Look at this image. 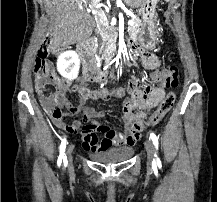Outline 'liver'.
Listing matches in <instances>:
<instances>
[{"mask_svg":"<svg viewBox=\"0 0 217 202\" xmlns=\"http://www.w3.org/2000/svg\"><path fill=\"white\" fill-rule=\"evenodd\" d=\"M48 14L54 20L51 42L55 46H71L92 36L95 22L87 8L92 0H44ZM130 8H140L144 0H124Z\"/></svg>","mask_w":217,"mask_h":202,"instance_id":"1","label":"liver"}]
</instances>
